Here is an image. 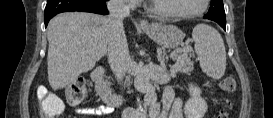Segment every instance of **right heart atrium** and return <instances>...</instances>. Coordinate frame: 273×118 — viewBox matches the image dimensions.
Returning <instances> with one entry per match:
<instances>
[{
  "instance_id": "obj_1",
  "label": "right heart atrium",
  "mask_w": 273,
  "mask_h": 118,
  "mask_svg": "<svg viewBox=\"0 0 273 118\" xmlns=\"http://www.w3.org/2000/svg\"><path fill=\"white\" fill-rule=\"evenodd\" d=\"M135 5V1L134 0H124L123 1V6L126 8H133Z\"/></svg>"
}]
</instances>
